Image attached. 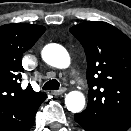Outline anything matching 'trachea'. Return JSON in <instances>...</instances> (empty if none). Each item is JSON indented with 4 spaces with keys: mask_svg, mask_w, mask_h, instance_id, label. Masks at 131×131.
Returning <instances> with one entry per match:
<instances>
[{
    "mask_svg": "<svg viewBox=\"0 0 131 131\" xmlns=\"http://www.w3.org/2000/svg\"><path fill=\"white\" fill-rule=\"evenodd\" d=\"M60 87L59 82L56 79L49 80L43 86V90H58Z\"/></svg>",
    "mask_w": 131,
    "mask_h": 131,
    "instance_id": "obj_1",
    "label": "trachea"
}]
</instances>
